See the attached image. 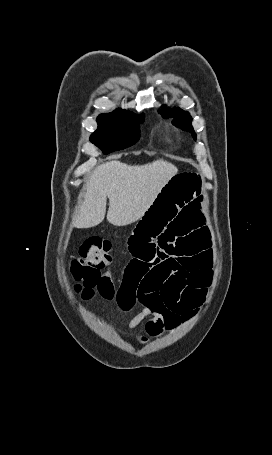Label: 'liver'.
Returning a JSON list of instances; mask_svg holds the SVG:
<instances>
[{"label": "liver", "instance_id": "6515ba94", "mask_svg": "<svg viewBox=\"0 0 272 455\" xmlns=\"http://www.w3.org/2000/svg\"><path fill=\"white\" fill-rule=\"evenodd\" d=\"M177 172L176 166L164 160L141 166L113 160L98 166L86 181V193L74 226L91 228L100 224L105 217L107 197L109 223L126 226L136 222Z\"/></svg>", "mask_w": 272, "mask_h": 455}]
</instances>
